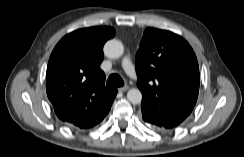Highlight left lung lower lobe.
<instances>
[{
    "instance_id": "0a47b994",
    "label": "left lung lower lobe",
    "mask_w": 244,
    "mask_h": 157,
    "mask_svg": "<svg viewBox=\"0 0 244 157\" xmlns=\"http://www.w3.org/2000/svg\"><path fill=\"white\" fill-rule=\"evenodd\" d=\"M141 112H142V118L143 120L158 130H168L164 124H162L155 116L154 114L145 106L141 105Z\"/></svg>"
}]
</instances>
